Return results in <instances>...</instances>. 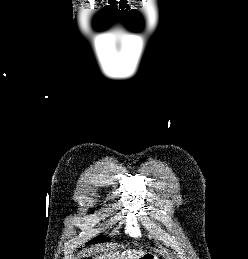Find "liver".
<instances>
[{"mask_svg": "<svg viewBox=\"0 0 248 259\" xmlns=\"http://www.w3.org/2000/svg\"><path fill=\"white\" fill-rule=\"evenodd\" d=\"M144 254L143 251L139 250H126L124 252L104 253L93 257L92 259H139Z\"/></svg>", "mask_w": 248, "mask_h": 259, "instance_id": "liver-1", "label": "liver"}]
</instances>
